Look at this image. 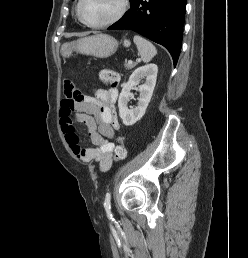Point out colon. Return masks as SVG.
I'll return each mask as SVG.
<instances>
[{"label":"colon","instance_id":"obj_1","mask_svg":"<svg viewBox=\"0 0 248 258\" xmlns=\"http://www.w3.org/2000/svg\"><path fill=\"white\" fill-rule=\"evenodd\" d=\"M99 76L101 81L108 85L113 86L118 81V74L112 70H103ZM118 140H119V144L116 146L114 151L115 161L123 160L126 157V148L122 143L123 138L120 137Z\"/></svg>","mask_w":248,"mask_h":258}]
</instances>
